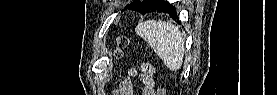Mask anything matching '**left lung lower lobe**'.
<instances>
[{
    "instance_id": "0a47b994",
    "label": "left lung lower lobe",
    "mask_w": 277,
    "mask_h": 95,
    "mask_svg": "<svg viewBox=\"0 0 277 95\" xmlns=\"http://www.w3.org/2000/svg\"><path fill=\"white\" fill-rule=\"evenodd\" d=\"M151 2L152 0H143L142 2L134 1L127 8H129L130 10L138 11L142 14H146L149 12H156V11L165 12V13H168L174 19L178 18L175 7L169 4L168 2L164 1L161 5L156 7H152Z\"/></svg>"
}]
</instances>
